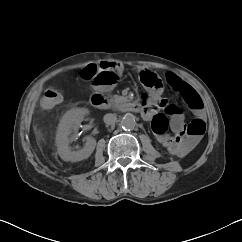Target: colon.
<instances>
[{"label": "colon", "mask_w": 242, "mask_h": 242, "mask_svg": "<svg viewBox=\"0 0 242 242\" xmlns=\"http://www.w3.org/2000/svg\"><path fill=\"white\" fill-rule=\"evenodd\" d=\"M81 78L85 81H92L95 86L105 87L113 84L119 78V74L110 69H106L96 64H89L85 66L80 74ZM141 82L144 87L152 93H158L162 87L160 79L154 73H145L141 76ZM169 86L177 91L185 102L192 109L201 107V98L197 92L188 84H179L178 81L170 79ZM63 100L62 92L56 87H48L42 98V105L45 108H52L60 104ZM196 127L193 133L203 135L205 132L204 127L200 122H195ZM152 128L155 134L159 136L166 135L168 131V123L162 114H156L152 120Z\"/></svg>", "instance_id": "1"}]
</instances>
